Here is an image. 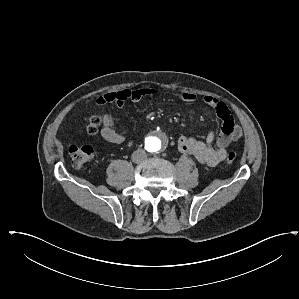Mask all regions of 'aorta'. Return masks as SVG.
Wrapping results in <instances>:
<instances>
[{
  "label": "aorta",
  "instance_id": "762f6f07",
  "mask_svg": "<svg viewBox=\"0 0 299 299\" xmlns=\"http://www.w3.org/2000/svg\"><path fill=\"white\" fill-rule=\"evenodd\" d=\"M145 149L152 155L159 153L166 145V137L161 132H155L145 138Z\"/></svg>",
  "mask_w": 299,
  "mask_h": 299
}]
</instances>
